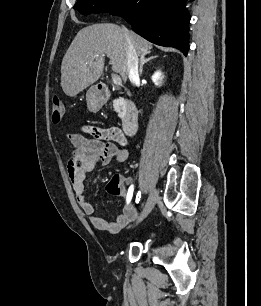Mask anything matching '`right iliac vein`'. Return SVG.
I'll return each mask as SVG.
<instances>
[{
	"mask_svg": "<svg viewBox=\"0 0 261 306\" xmlns=\"http://www.w3.org/2000/svg\"><path fill=\"white\" fill-rule=\"evenodd\" d=\"M157 191L155 188H152L151 191H150V195L148 197V200L146 202V205L145 207L143 208L138 220H137V223L141 222L143 219H145L149 213L152 211L154 205H155V202L157 200Z\"/></svg>",
	"mask_w": 261,
	"mask_h": 306,
	"instance_id": "63e3f726",
	"label": "right iliac vein"
}]
</instances>
